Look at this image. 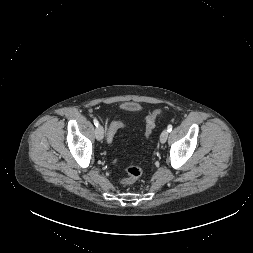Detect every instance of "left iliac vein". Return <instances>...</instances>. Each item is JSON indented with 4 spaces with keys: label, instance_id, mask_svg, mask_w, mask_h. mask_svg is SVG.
Instances as JSON below:
<instances>
[{
    "label": "left iliac vein",
    "instance_id": "1",
    "mask_svg": "<svg viewBox=\"0 0 253 253\" xmlns=\"http://www.w3.org/2000/svg\"><path fill=\"white\" fill-rule=\"evenodd\" d=\"M168 135H169L168 130L165 129V130L162 131V133L160 135V142L162 144L166 142V140L168 138Z\"/></svg>",
    "mask_w": 253,
    "mask_h": 253
}]
</instances>
